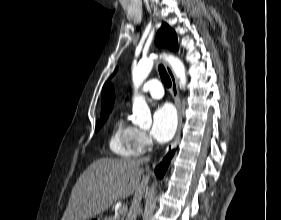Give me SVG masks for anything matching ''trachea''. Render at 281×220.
Segmentation results:
<instances>
[{
  "mask_svg": "<svg viewBox=\"0 0 281 220\" xmlns=\"http://www.w3.org/2000/svg\"><path fill=\"white\" fill-rule=\"evenodd\" d=\"M159 70V74L161 77L162 82L164 83L165 86L170 87L171 86V79L166 71V69L164 68V66L161 64L158 67Z\"/></svg>",
  "mask_w": 281,
  "mask_h": 220,
  "instance_id": "obj_1",
  "label": "trachea"
}]
</instances>
